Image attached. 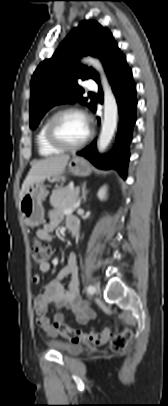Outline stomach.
<instances>
[{
  "label": "stomach",
  "instance_id": "1",
  "mask_svg": "<svg viewBox=\"0 0 168 406\" xmlns=\"http://www.w3.org/2000/svg\"><path fill=\"white\" fill-rule=\"evenodd\" d=\"M67 171L76 176H88L91 173L90 164L81 157H73L68 165ZM54 180L58 178H53ZM47 191L42 182L30 186L24 193L19 203L22 219L27 226L36 227L44 218L42 201L46 198Z\"/></svg>",
  "mask_w": 168,
  "mask_h": 406
}]
</instances>
